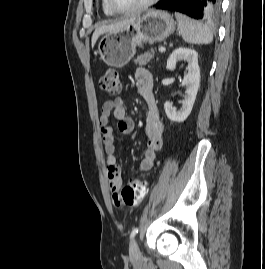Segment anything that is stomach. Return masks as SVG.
<instances>
[{"instance_id":"stomach-1","label":"stomach","mask_w":265,"mask_h":269,"mask_svg":"<svg viewBox=\"0 0 265 269\" xmlns=\"http://www.w3.org/2000/svg\"><path fill=\"white\" fill-rule=\"evenodd\" d=\"M175 25L168 12L151 10L122 29L105 33L98 44L100 58L110 67L121 68L133 58L137 46L165 40L174 33Z\"/></svg>"}]
</instances>
